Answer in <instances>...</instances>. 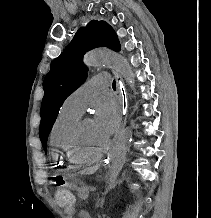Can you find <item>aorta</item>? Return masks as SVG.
I'll return each instance as SVG.
<instances>
[{
    "mask_svg": "<svg viewBox=\"0 0 211 218\" xmlns=\"http://www.w3.org/2000/svg\"><path fill=\"white\" fill-rule=\"evenodd\" d=\"M84 63L89 67L106 65L116 70L129 86L133 89L135 81L132 70L125 58L109 50H93L84 56ZM132 130L124 128L117 136L110 155V170L107 177L108 187L112 189L116 185L118 176L126 161V155L132 141Z\"/></svg>",
    "mask_w": 211,
    "mask_h": 218,
    "instance_id": "aorta-1",
    "label": "aorta"
}]
</instances>
